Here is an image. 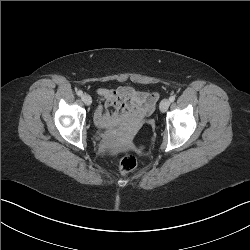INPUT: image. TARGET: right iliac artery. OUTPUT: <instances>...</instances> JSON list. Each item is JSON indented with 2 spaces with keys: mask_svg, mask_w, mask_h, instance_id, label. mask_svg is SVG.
Returning a JSON list of instances; mask_svg holds the SVG:
<instances>
[{
  "mask_svg": "<svg viewBox=\"0 0 250 250\" xmlns=\"http://www.w3.org/2000/svg\"><path fill=\"white\" fill-rule=\"evenodd\" d=\"M77 95L78 96H82L83 95V92L81 90L77 91Z\"/></svg>",
  "mask_w": 250,
  "mask_h": 250,
  "instance_id": "1",
  "label": "right iliac artery"
}]
</instances>
